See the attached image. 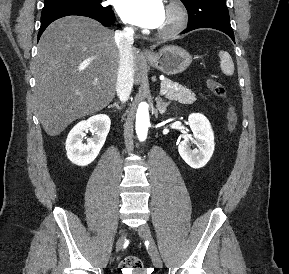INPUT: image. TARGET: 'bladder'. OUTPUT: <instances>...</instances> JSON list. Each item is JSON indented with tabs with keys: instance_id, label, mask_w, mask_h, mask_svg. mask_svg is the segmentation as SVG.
Masks as SVG:
<instances>
[{
	"instance_id": "31cf9c89",
	"label": "bladder",
	"mask_w": 289,
	"mask_h": 274,
	"mask_svg": "<svg viewBox=\"0 0 289 274\" xmlns=\"http://www.w3.org/2000/svg\"><path fill=\"white\" fill-rule=\"evenodd\" d=\"M124 274H142V273H140V271H130V272H128V273H124Z\"/></svg>"
}]
</instances>
